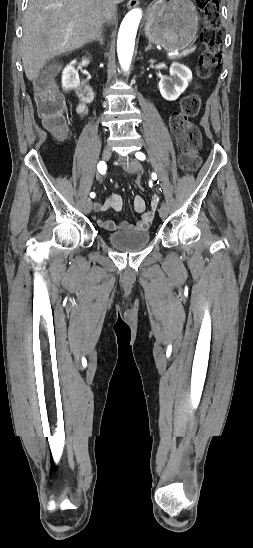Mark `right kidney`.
I'll return each mask as SVG.
<instances>
[{"instance_id":"1","label":"right kidney","mask_w":253,"mask_h":548,"mask_svg":"<svg viewBox=\"0 0 253 548\" xmlns=\"http://www.w3.org/2000/svg\"><path fill=\"white\" fill-rule=\"evenodd\" d=\"M76 61H72L62 72V87L64 90H70L76 87L80 80L78 71L74 68Z\"/></svg>"}]
</instances>
